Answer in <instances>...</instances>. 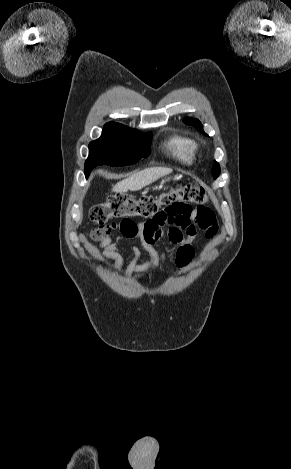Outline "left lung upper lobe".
Listing matches in <instances>:
<instances>
[{
	"label": "left lung upper lobe",
	"mask_w": 291,
	"mask_h": 469,
	"mask_svg": "<svg viewBox=\"0 0 291 469\" xmlns=\"http://www.w3.org/2000/svg\"><path fill=\"white\" fill-rule=\"evenodd\" d=\"M184 123L186 124H189V125H193L196 129H198L199 131H201L204 135L208 136L204 131H203V127H202V124L200 123V121L198 119H195V118H185L184 119ZM212 174H213V177L214 179H216L219 174H220V166L219 164L215 161L214 162V166L212 168Z\"/></svg>",
	"instance_id": "5c2ea615"
}]
</instances>
